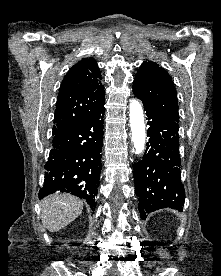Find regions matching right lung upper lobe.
Masks as SVG:
<instances>
[{"label": "right lung upper lobe", "mask_w": 221, "mask_h": 276, "mask_svg": "<svg viewBox=\"0 0 221 276\" xmlns=\"http://www.w3.org/2000/svg\"><path fill=\"white\" fill-rule=\"evenodd\" d=\"M101 73L94 58H84L66 74L59 89L53 134L76 126L105 103Z\"/></svg>", "instance_id": "cb5924a9"}]
</instances>
